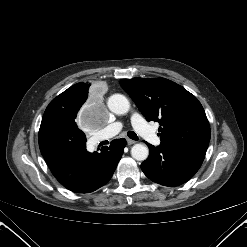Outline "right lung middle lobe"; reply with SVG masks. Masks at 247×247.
I'll use <instances>...</instances> for the list:
<instances>
[{
  "mask_svg": "<svg viewBox=\"0 0 247 247\" xmlns=\"http://www.w3.org/2000/svg\"><path fill=\"white\" fill-rule=\"evenodd\" d=\"M84 100L77 99L70 93H61L50 102L43 117H57L71 123H76L79 109Z\"/></svg>",
  "mask_w": 247,
  "mask_h": 247,
  "instance_id": "obj_1",
  "label": "right lung middle lobe"
}]
</instances>
